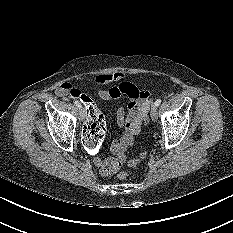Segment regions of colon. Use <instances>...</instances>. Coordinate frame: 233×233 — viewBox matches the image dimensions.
Listing matches in <instances>:
<instances>
[{
    "label": "colon",
    "instance_id": "1",
    "mask_svg": "<svg viewBox=\"0 0 233 233\" xmlns=\"http://www.w3.org/2000/svg\"><path fill=\"white\" fill-rule=\"evenodd\" d=\"M77 101L80 105L85 106L88 111V122L84 127V142L85 148L90 155H97L99 148L104 138L106 130V122L102 113L97 109L88 94L82 93L78 96ZM143 122H148V115L143 116ZM147 156V151H142L136 158L125 160L123 154L118 155L119 163H126L128 167H135L141 163ZM128 177L127 172H120L118 178L123 180Z\"/></svg>",
    "mask_w": 233,
    "mask_h": 233
}]
</instances>
